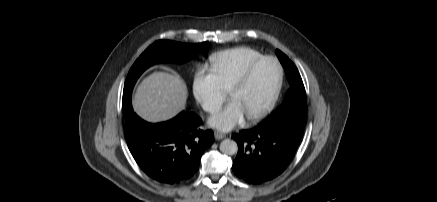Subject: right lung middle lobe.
Listing matches in <instances>:
<instances>
[{
	"label": "right lung middle lobe",
	"mask_w": 437,
	"mask_h": 202,
	"mask_svg": "<svg viewBox=\"0 0 437 202\" xmlns=\"http://www.w3.org/2000/svg\"><path fill=\"white\" fill-rule=\"evenodd\" d=\"M208 42L184 44L168 40H159L149 46L131 67L123 90V115L126 117L131 106V94L139 76L150 66L159 62L184 63L202 51Z\"/></svg>",
	"instance_id": "dd1d6c3e"
}]
</instances>
